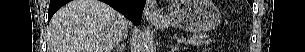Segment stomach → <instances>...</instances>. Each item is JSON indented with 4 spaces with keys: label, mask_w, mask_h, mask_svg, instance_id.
Returning a JSON list of instances; mask_svg holds the SVG:
<instances>
[{
    "label": "stomach",
    "mask_w": 305,
    "mask_h": 52,
    "mask_svg": "<svg viewBox=\"0 0 305 52\" xmlns=\"http://www.w3.org/2000/svg\"><path fill=\"white\" fill-rule=\"evenodd\" d=\"M221 20L219 9L211 0H181L174 10L154 22L158 28L176 27L189 32H206Z\"/></svg>",
    "instance_id": "obj_1"
}]
</instances>
